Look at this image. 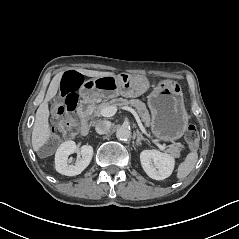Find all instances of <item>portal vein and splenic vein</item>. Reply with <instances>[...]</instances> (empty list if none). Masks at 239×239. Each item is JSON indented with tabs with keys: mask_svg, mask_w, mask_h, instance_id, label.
Here are the masks:
<instances>
[{
	"mask_svg": "<svg viewBox=\"0 0 239 239\" xmlns=\"http://www.w3.org/2000/svg\"><path fill=\"white\" fill-rule=\"evenodd\" d=\"M128 111H130L132 113V115L134 116V118L137 120V124H139L140 130L142 131L143 134L145 135H149V132H147L145 130V128L142 127V123L141 121L138 119V116L136 115V112L133 111L132 109H130L129 107L126 108ZM116 112V108L115 107H104L100 109L99 115L102 117H111L115 114ZM156 145V147H159L160 149H162V151L165 153L166 150L164 149L165 147L158 144L157 142L154 143Z\"/></svg>",
	"mask_w": 239,
	"mask_h": 239,
	"instance_id": "18ae733b",
	"label": "portal vein and splenic vein"
}]
</instances>
